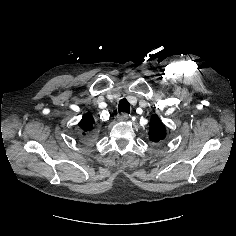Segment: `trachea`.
Listing matches in <instances>:
<instances>
[{"mask_svg": "<svg viewBox=\"0 0 236 236\" xmlns=\"http://www.w3.org/2000/svg\"><path fill=\"white\" fill-rule=\"evenodd\" d=\"M119 112L130 113V105L126 99H121L119 102Z\"/></svg>", "mask_w": 236, "mask_h": 236, "instance_id": "trachea-1", "label": "trachea"}]
</instances>
